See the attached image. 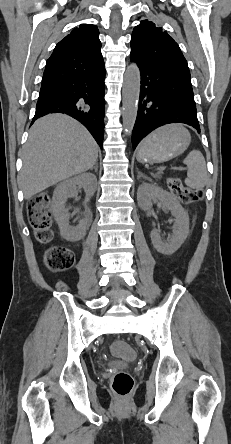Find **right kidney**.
Masks as SVG:
<instances>
[{
  "label": "right kidney",
  "instance_id": "ca27d5eb",
  "mask_svg": "<svg viewBox=\"0 0 231 444\" xmlns=\"http://www.w3.org/2000/svg\"><path fill=\"white\" fill-rule=\"evenodd\" d=\"M77 185L84 188L87 197L94 195L96 191V176L84 173L72 179L65 180L57 185L52 198V208L60 233L67 241L75 242L84 237L89 228L90 220L81 219L78 225H70V214L65 204L68 198L77 196Z\"/></svg>",
  "mask_w": 231,
  "mask_h": 444
}]
</instances>
